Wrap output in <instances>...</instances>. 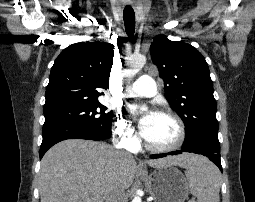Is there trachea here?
Here are the masks:
<instances>
[{
	"instance_id": "trachea-1",
	"label": "trachea",
	"mask_w": 255,
	"mask_h": 202,
	"mask_svg": "<svg viewBox=\"0 0 255 202\" xmlns=\"http://www.w3.org/2000/svg\"><path fill=\"white\" fill-rule=\"evenodd\" d=\"M125 30L129 37H133L135 32V13L132 8H125L123 11Z\"/></svg>"
}]
</instances>
